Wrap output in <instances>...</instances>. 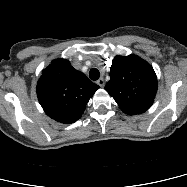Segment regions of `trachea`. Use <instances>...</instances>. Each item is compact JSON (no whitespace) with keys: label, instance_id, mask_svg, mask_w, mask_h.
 Instances as JSON below:
<instances>
[{"label":"trachea","instance_id":"trachea-1","mask_svg":"<svg viewBox=\"0 0 187 187\" xmlns=\"http://www.w3.org/2000/svg\"><path fill=\"white\" fill-rule=\"evenodd\" d=\"M89 77H90V79L91 80H98L99 79V77H100V72H99V70L98 69H96V68H92L91 70H90V72H89Z\"/></svg>","mask_w":187,"mask_h":187}]
</instances>
